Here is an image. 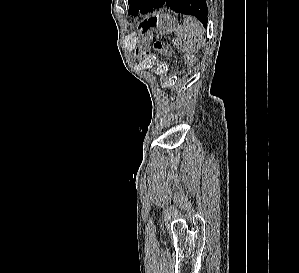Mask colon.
Instances as JSON below:
<instances>
[{"mask_svg": "<svg viewBox=\"0 0 299 273\" xmlns=\"http://www.w3.org/2000/svg\"><path fill=\"white\" fill-rule=\"evenodd\" d=\"M156 48H157L158 51H160V52H165V51H166L164 45H163L161 42H158V43L156 44Z\"/></svg>", "mask_w": 299, "mask_h": 273, "instance_id": "colon-1", "label": "colon"}]
</instances>
